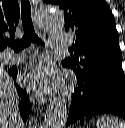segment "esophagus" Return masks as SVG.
I'll list each match as a JSON object with an SVG mask.
<instances>
[{"mask_svg":"<svg viewBox=\"0 0 125 128\" xmlns=\"http://www.w3.org/2000/svg\"><path fill=\"white\" fill-rule=\"evenodd\" d=\"M36 100H37L38 104H41V105L46 104L48 102V99L44 96H41V95H38L36 97Z\"/></svg>","mask_w":125,"mask_h":128,"instance_id":"34e87169","label":"esophagus"}]
</instances>
